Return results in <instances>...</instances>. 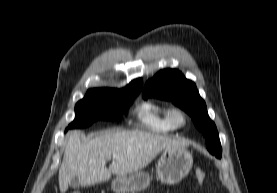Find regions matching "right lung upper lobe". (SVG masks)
I'll use <instances>...</instances> for the list:
<instances>
[{
    "label": "right lung upper lobe",
    "mask_w": 277,
    "mask_h": 193,
    "mask_svg": "<svg viewBox=\"0 0 277 193\" xmlns=\"http://www.w3.org/2000/svg\"><path fill=\"white\" fill-rule=\"evenodd\" d=\"M142 83H143L142 79H136L123 89L100 88V89H90L88 91L108 93V94L139 93L142 88Z\"/></svg>",
    "instance_id": "cb5924a9"
}]
</instances>
